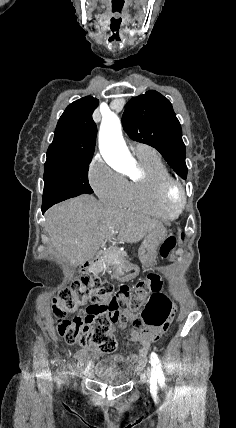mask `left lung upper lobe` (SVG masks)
Here are the masks:
<instances>
[{"label": "left lung upper lobe", "instance_id": "obj_1", "mask_svg": "<svg viewBox=\"0 0 236 428\" xmlns=\"http://www.w3.org/2000/svg\"><path fill=\"white\" fill-rule=\"evenodd\" d=\"M122 123L129 137L156 148L181 178L187 177L182 130L170 101L155 90L132 98Z\"/></svg>", "mask_w": 236, "mask_h": 428}]
</instances>
